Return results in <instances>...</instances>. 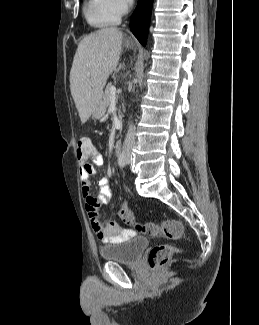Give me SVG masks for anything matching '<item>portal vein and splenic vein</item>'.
Returning <instances> with one entry per match:
<instances>
[{
    "label": "portal vein and splenic vein",
    "instance_id": "1",
    "mask_svg": "<svg viewBox=\"0 0 259 325\" xmlns=\"http://www.w3.org/2000/svg\"><path fill=\"white\" fill-rule=\"evenodd\" d=\"M110 92H111V100H115L116 98V87L115 86H111L110 88Z\"/></svg>",
    "mask_w": 259,
    "mask_h": 325
}]
</instances>
